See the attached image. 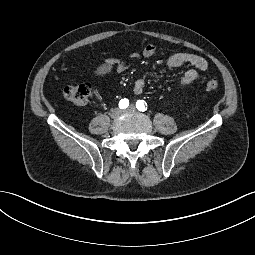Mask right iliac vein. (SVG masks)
<instances>
[{
    "label": "right iliac vein",
    "mask_w": 255,
    "mask_h": 255,
    "mask_svg": "<svg viewBox=\"0 0 255 255\" xmlns=\"http://www.w3.org/2000/svg\"><path fill=\"white\" fill-rule=\"evenodd\" d=\"M121 110L119 108H114L110 111V117L116 119L120 116Z\"/></svg>",
    "instance_id": "right-iliac-vein-1"
}]
</instances>
